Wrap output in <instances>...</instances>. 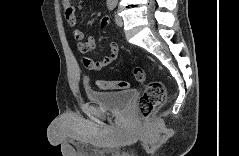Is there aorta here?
<instances>
[{"mask_svg":"<svg viewBox=\"0 0 239 156\" xmlns=\"http://www.w3.org/2000/svg\"><path fill=\"white\" fill-rule=\"evenodd\" d=\"M108 2L111 3V4H116L117 0H108Z\"/></svg>","mask_w":239,"mask_h":156,"instance_id":"762f6f07","label":"aorta"}]
</instances>
